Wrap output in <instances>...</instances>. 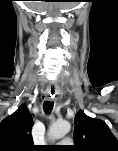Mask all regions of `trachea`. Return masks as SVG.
Listing matches in <instances>:
<instances>
[{
	"instance_id": "trachea-1",
	"label": "trachea",
	"mask_w": 118,
	"mask_h": 151,
	"mask_svg": "<svg viewBox=\"0 0 118 151\" xmlns=\"http://www.w3.org/2000/svg\"><path fill=\"white\" fill-rule=\"evenodd\" d=\"M53 106H54V102L52 101H45L43 103V110L46 114H50L52 109H53Z\"/></svg>"
}]
</instances>
